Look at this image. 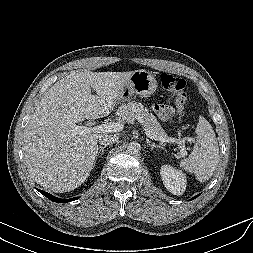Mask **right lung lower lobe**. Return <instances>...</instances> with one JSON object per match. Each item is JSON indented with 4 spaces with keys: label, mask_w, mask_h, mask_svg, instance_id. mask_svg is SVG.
<instances>
[{
    "label": "right lung lower lobe",
    "mask_w": 253,
    "mask_h": 253,
    "mask_svg": "<svg viewBox=\"0 0 253 253\" xmlns=\"http://www.w3.org/2000/svg\"><path fill=\"white\" fill-rule=\"evenodd\" d=\"M38 190V189H37ZM41 194H43L44 196H46L48 199H50L51 201L53 202H58V203H66V202H70V201H73V200H76L78 199V197H75V198H70V199H60V198H57V197H54L52 196L51 194L45 192V191H42V190H38Z\"/></svg>",
    "instance_id": "right-lung-lower-lobe-1"
}]
</instances>
